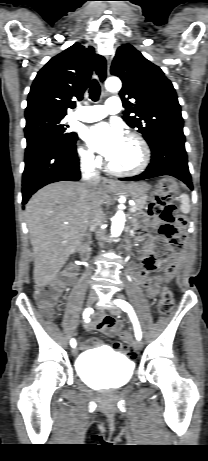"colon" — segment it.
Masks as SVG:
<instances>
[{"instance_id": "5ec220e1", "label": "colon", "mask_w": 208, "mask_h": 461, "mask_svg": "<svg viewBox=\"0 0 208 461\" xmlns=\"http://www.w3.org/2000/svg\"><path fill=\"white\" fill-rule=\"evenodd\" d=\"M177 187L176 181L172 178H164L152 192V202L149 206L150 216L167 225L173 223H184V218L179 214L176 205L172 202V194ZM183 242L177 248H182ZM172 248H176L172 246ZM175 266H168L167 275L171 276ZM65 282L60 280L49 282L45 285L38 286L35 290V299L40 307L48 314L54 313V308L60 297L61 289ZM174 307V297L171 290L163 288L160 293L158 311L161 315H169ZM123 351L131 360L138 358L137 349L133 348L130 343H123ZM115 352V351H114ZM116 353V352H115ZM117 354V353H116Z\"/></svg>"}]
</instances>
